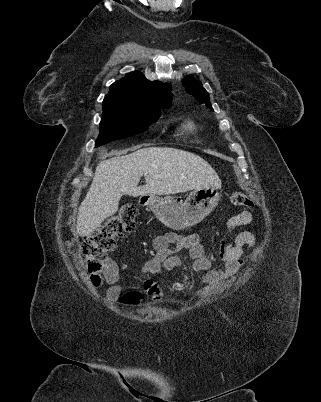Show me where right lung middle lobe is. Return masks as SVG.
<instances>
[{
	"label": "right lung middle lobe",
	"instance_id": "right-lung-middle-lobe-1",
	"mask_svg": "<svg viewBox=\"0 0 321 402\" xmlns=\"http://www.w3.org/2000/svg\"><path fill=\"white\" fill-rule=\"evenodd\" d=\"M165 107H146L124 102L103 101V116L96 146L147 130Z\"/></svg>",
	"mask_w": 321,
	"mask_h": 402
}]
</instances>
